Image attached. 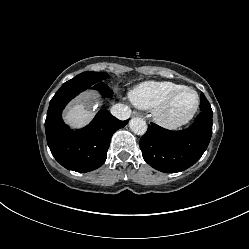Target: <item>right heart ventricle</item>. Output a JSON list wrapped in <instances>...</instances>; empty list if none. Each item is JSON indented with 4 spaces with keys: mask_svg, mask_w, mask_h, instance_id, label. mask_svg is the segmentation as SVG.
<instances>
[{
    "mask_svg": "<svg viewBox=\"0 0 249 249\" xmlns=\"http://www.w3.org/2000/svg\"><path fill=\"white\" fill-rule=\"evenodd\" d=\"M183 85L173 81H146L130 92L134 105L142 109L155 108L173 90Z\"/></svg>",
    "mask_w": 249,
    "mask_h": 249,
    "instance_id": "1",
    "label": "right heart ventricle"
}]
</instances>
